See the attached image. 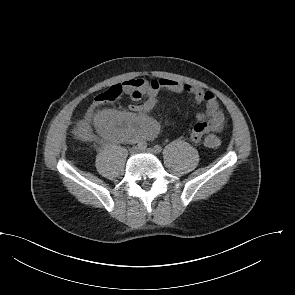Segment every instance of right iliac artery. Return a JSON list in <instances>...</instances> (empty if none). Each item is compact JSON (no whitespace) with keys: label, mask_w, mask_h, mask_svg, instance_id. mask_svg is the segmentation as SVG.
Returning a JSON list of instances; mask_svg holds the SVG:
<instances>
[{"label":"right iliac artery","mask_w":295,"mask_h":295,"mask_svg":"<svg viewBox=\"0 0 295 295\" xmlns=\"http://www.w3.org/2000/svg\"><path fill=\"white\" fill-rule=\"evenodd\" d=\"M138 147H145V142H138Z\"/></svg>","instance_id":"right-iliac-artery-1"}]
</instances>
